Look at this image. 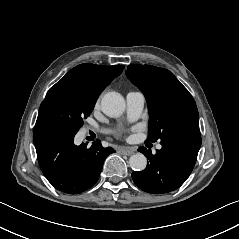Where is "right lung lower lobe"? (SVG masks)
<instances>
[{
    "instance_id": "right-lung-lower-lobe-1",
    "label": "right lung lower lobe",
    "mask_w": 239,
    "mask_h": 239,
    "mask_svg": "<svg viewBox=\"0 0 239 239\" xmlns=\"http://www.w3.org/2000/svg\"><path fill=\"white\" fill-rule=\"evenodd\" d=\"M76 132L57 123H44L34 128V144L40 168L57 190L79 194L98 180L105 158L115 151L94 142L90 148L74 144Z\"/></svg>"
}]
</instances>
